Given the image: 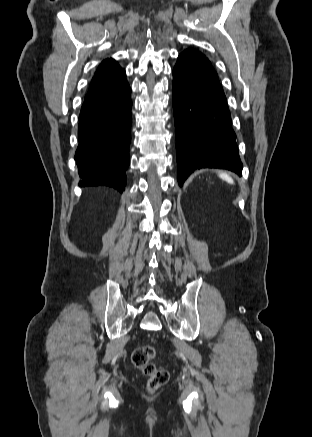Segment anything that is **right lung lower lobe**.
<instances>
[{
    "label": "right lung lower lobe",
    "instance_id": "1",
    "mask_svg": "<svg viewBox=\"0 0 312 437\" xmlns=\"http://www.w3.org/2000/svg\"><path fill=\"white\" fill-rule=\"evenodd\" d=\"M131 88L125 73L107 87L85 97L79 116L75 160L79 186L124 190L131 141Z\"/></svg>",
    "mask_w": 312,
    "mask_h": 437
}]
</instances>
